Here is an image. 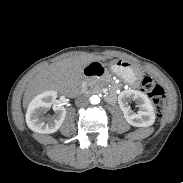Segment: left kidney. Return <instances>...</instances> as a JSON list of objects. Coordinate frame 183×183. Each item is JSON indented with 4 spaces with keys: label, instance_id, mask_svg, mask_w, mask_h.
<instances>
[{
    "label": "left kidney",
    "instance_id": "obj_1",
    "mask_svg": "<svg viewBox=\"0 0 183 183\" xmlns=\"http://www.w3.org/2000/svg\"><path fill=\"white\" fill-rule=\"evenodd\" d=\"M129 100L135 101L139 110L133 112L129 105ZM120 109L124 114L125 120L135 127H148L155 122L154 108L148 97L138 90H124L118 96Z\"/></svg>",
    "mask_w": 183,
    "mask_h": 183
}]
</instances>
